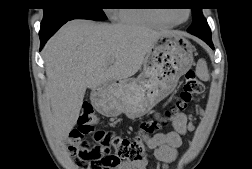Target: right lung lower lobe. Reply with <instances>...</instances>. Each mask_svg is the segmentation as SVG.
Segmentation results:
<instances>
[{"mask_svg": "<svg viewBox=\"0 0 252 169\" xmlns=\"http://www.w3.org/2000/svg\"><path fill=\"white\" fill-rule=\"evenodd\" d=\"M67 21L56 23L52 26L41 28L39 32L40 41H41V49L46 43V41Z\"/></svg>", "mask_w": 252, "mask_h": 169, "instance_id": "obj_1", "label": "right lung lower lobe"}]
</instances>
